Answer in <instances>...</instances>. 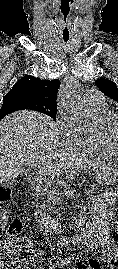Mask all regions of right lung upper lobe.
Segmentation results:
<instances>
[{
  "label": "right lung upper lobe",
  "instance_id": "1",
  "mask_svg": "<svg viewBox=\"0 0 118 269\" xmlns=\"http://www.w3.org/2000/svg\"><path fill=\"white\" fill-rule=\"evenodd\" d=\"M60 81L41 80L39 78L25 75L6 94H19L29 97L42 105H56V98Z\"/></svg>",
  "mask_w": 118,
  "mask_h": 269
}]
</instances>
